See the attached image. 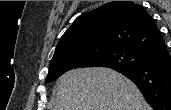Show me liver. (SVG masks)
<instances>
[{
  "label": "liver",
  "instance_id": "1",
  "mask_svg": "<svg viewBox=\"0 0 171 110\" xmlns=\"http://www.w3.org/2000/svg\"><path fill=\"white\" fill-rule=\"evenodd\" d=\"M53 110H151L137 86L115 70L73 69L57 81Z\"/></svg>",
  "mask_w": 171,
  "mask_h": 110
}]
</instances>
